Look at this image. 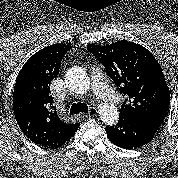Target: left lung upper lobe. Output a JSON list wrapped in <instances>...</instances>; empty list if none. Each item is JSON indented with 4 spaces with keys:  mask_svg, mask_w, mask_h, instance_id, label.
<instances>
[{
    "mask_svg": "<svg viewBox=\"0 0 178 178\" xmlns=\"http://www.w3.org/2000/svg\"><path fill=\"white\" fill-rule=\"evenodd\" d=\"M87 49L127 96L119 117L164 121L170 105V91L152 53L125 40L107 46L89 44Z\"/></svg>",
    "mask_w": 178,
    "mask_h": 178,
    "instance_id": "1",
    "label": "left lung upper lobe"
}]
</instances>
